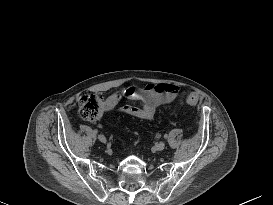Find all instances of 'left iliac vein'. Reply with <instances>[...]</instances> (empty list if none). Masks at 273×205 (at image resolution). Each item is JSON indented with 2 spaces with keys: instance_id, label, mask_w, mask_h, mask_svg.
<instances>
[{
  "instance_id": "1",
  "label": "left iliac vein",
  "mask_w": 273,
  "mask_h": 205,
  "mask_svg": "<svg viewBox=\"0 0 273 205\" xmlns=\"http://www.w3.org/2000/svg\"><path fill=\"white\" fill-rule=\"evenodd\" d=\"M165 148V142L164 141H161V142H158L156 145H155V149L158 150V151H161Z\"/></svg>"
}]
</instances>
